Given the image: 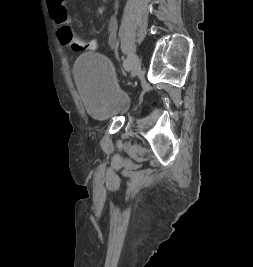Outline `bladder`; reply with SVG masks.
<instances>
[{"mask_svg":"<svg viewBox=\"0 0 253 267\" xmlns=\"http://www.w3.org/2000/svg\"><path fill=\"white\" fill-rule=\"evenodd\" d=\"M74 79L87 114L97 121H108L130 103L120 88L111 62L98 53H84L74 64Z\"/></svg>","mask_w":253,"mask_h":267,"instance_id":"obj_1","label":"bladder"}]
</instances>
